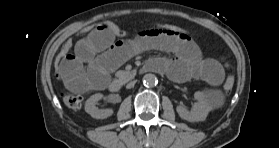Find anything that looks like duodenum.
Returning a JSON list of instances; mask_svg holds the SVG:
<instances>
[{"instance_id": "1", "label": "duodenum", "mask_w": 279, "mask_h": 148, "mask_svg": "<svg viewBox=\"0 0 279 148\" xmlns=\"http://www.w3.org/2000/svg\"><path fill=\"white\" fill-rule=\"evenodd\" d=\"M150 66H149V62L146 63L142 68L141 71H145V70H149ZM122 88V82L118 79H114L111 81L109 89L112 92H118L120 89Z\"/></svg>"}]
</instances>
